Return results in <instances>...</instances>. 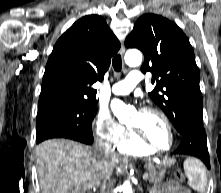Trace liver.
Listing matches in <instances>:
<instances>
[{"label":"liver","mask_w":221,"mask_h":193,"mask_svg":"<svg viewBox=\"0 0 221 193\" xmlns=\"http://www.w3.org/2000/svg\"><path fill=\"white\" fill-rule=\"evenodd\" d=\"M41 193H84L110 177L119 163L113 152L68 139H50L36 147Z\"/></svg>","instance_id":"6515ba94"}]
</instances>
